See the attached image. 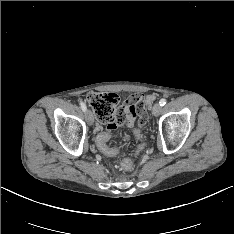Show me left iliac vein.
I'll list each match as a JSON object with an SVG mask.
<instances>
[{"label": "left iliac vein", "instance_id": "4c4485c4", "mask_svg": "<svg viewBox=\"0 0 234 234\" xmlns=\"http://www.w3.org/2000/svg\"><path fill=\"white\" fill-rule=\"evenodd\" d=\"M162 111V107L160 105V103H156L153 106L152 112L155 116H159L161 114Z\"/></svg>", "mask_w": 234, "mask_h": 234}]
</instances>
